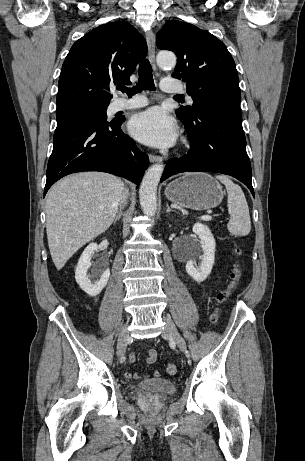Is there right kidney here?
Wrapping results in <instances>:
<instances>
[{
	"instance_id": "1",
	"label": "right kidney",
	"mask_w": 305,
	"mask_h": 461,
	"mask_svg": "<svg viewBox=\"0 0 305 461\" xmlns=\"http://www.w3.org/2000/svg\"><path fill=\"white\" fill-rule=\"evenodd\" d=\"M97 250L98 245L96 243L89 244L83 251L75 271L76 282L91 297L100 294L110 277V270L108 268L99 270V279L94 282L87 276V270L91 267V257Z\"/></svg>"
}]
</instances>
